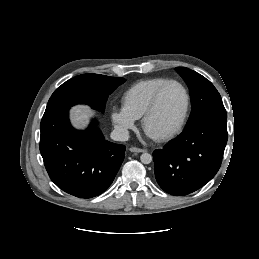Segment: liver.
<instances>
[{"label":"liver","instance_id":"1","mask_svg":"<svg viewBox=\"0 0 259 259\" xmlns=\"http://www.w3.org/2000/svg\"><path fill=\"white\" fill-rule=\"evenodd\" d=\"M94 112L88 106L80 105L71 109V122L77 129H84L89 124L91 115Z\"/></svg>","mask_w":259,"mask_h":259}]
</instances>
